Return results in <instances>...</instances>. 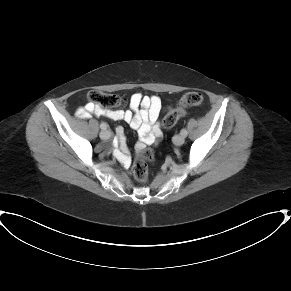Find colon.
Here are the masks:
<instances>
[{"mask_svg": "<svg viewBox=\"0 0 291 291\" xmlns=\"http://www.w3.org/2000/svg\"><path fill=\"white\" fill-rule=\"evenodd\" d=\"M89 104L98 107L100 110H107L120 105L123 99L111 92L92 90L88 94ZM203 102V96L198 92H188L184 94L176 107L169 108L163 120L165 128L173 127L178 120L185 115L184 108L197 106ZM153 158V151L150 148H141L136 155L133 164V173L135 178L144 182L148 177V162Z\"/></svg>", "mask_w": 291, "mask_h": 291, "instance_id": "5ec220e1", "label": "colon"}]
</instances>
